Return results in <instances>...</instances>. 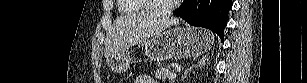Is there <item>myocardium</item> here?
<instances>
[{"mask_svg": "<svg viewBox=\"0 0 307 83\" xmlns=\"http://www.w3.org/2000/svg\"><path fill=\"white\" fill-rule=\"evenodd\" d=\"M145 4L148 10H151L156 15H167L170 14L180 2L179 0H172L163 8H155L151 0H140Z\"/></svg>", "mask_w": 307, "mask_h": 83, "instance_id": "1", "label": "myocardium"}]
</instances>
